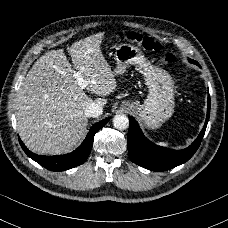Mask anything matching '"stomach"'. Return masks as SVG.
I'll return each mask as SVG.
<instances>
[{
  "mask_svg": "<svg viewBox=\"0 0 228 228\" xmlns=\"http://www.w3.org/2000/svg\"><path fill=\"white\" fill-rule=\"evenodd\" d=\"M116 68L114 74L120 75L130 65L142 69L148 96L144 104L122 101L120 108L131 105L132 112L150 128L158 127L173 114L174 82L168 72L152 68L151 62L139 46L132 43H121L114 53Z\"/></svg>",
  "mask_w": 228,
  "mask_h": 228,
  "instance_id": "obj_1",
  "label": "stomach"
}]
</instances>
